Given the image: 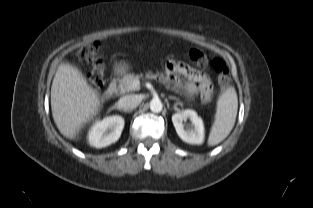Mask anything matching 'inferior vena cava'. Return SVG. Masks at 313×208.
<instances>
[{"label": "inferior vena cava", "instance_id": "inferior-vena-cava-1", "mask_svg": "<svg viewBox=\"0 0 313 208\" xmlns=\"http://www.w3.org/2000/svg\"><path fill=\"white\" fill-rule=\"evenodd\" d=\"M139 103V97L137 95L130 94L121 97L118 101V106L125 111H129L135 109Z\"/></svg>", "mask_w": 313, "mask_h": 208}]
</instances>
